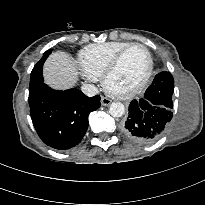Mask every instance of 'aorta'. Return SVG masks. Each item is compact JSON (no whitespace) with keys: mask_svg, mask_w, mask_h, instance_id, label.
I'll return each instance as SVG.
<instances>
[{"mask_svg":"<svg viewBox=\"0 0 205 205\" xmlns=\"http://www.w3.org/2000/svg\"><path fill=\"white\" fill-rule=\"evenodd\" d=\"M109 113L113 117H122L125 113V107L120 102H113L109 107Z\"/></svg>","mask_w":205,"mask_h":205,"instance_id":"1","label":"aorta"}]
</instances>
